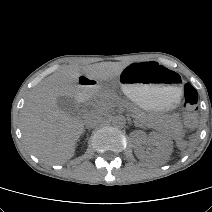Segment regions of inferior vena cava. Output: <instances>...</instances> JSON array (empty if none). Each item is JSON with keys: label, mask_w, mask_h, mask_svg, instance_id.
Instances as JSON below:
<instances>
[{"label": "inferior vena cava", "mask_w": 212, "mask_h": 212, "mask_svg": "<svg viewBox=\"0 0 212 212\" xmlns=\"http://www.w3.org/2000/svg\"><path fill=\"white\" fill-rule=\"evenodd\" d=\"M103 119L104 117L100 111L92 110L85 114L83 122L86 127L90 128L102 122Z\"/></svg>", "instance_id": "inferior-vena-cava-1"}]
</instances>
